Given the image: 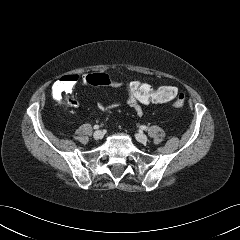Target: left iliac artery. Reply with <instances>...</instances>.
Masks as SVG:
<instances>
[{"mask_svg": "<svg viewBox=\"0 0 240 240\" xmlns=\"http://www.w3.org/2000/svg\"><path fill=\"white\" fill-rule=\"evenodd\" d=\"M142 130H147V127L145 125L140 127Z\"/></svg>", "mask_w": 240, "mask_h": 240, "instance_id": "obj_1", "label": "left iliac artery"}]
</instances>
